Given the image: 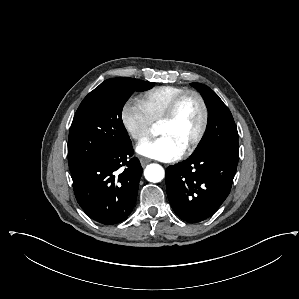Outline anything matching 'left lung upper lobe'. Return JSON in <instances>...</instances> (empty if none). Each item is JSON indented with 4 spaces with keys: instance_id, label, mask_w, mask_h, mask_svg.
<instances>
[{
    "instance_id": "left-lung-upper-lobe-1",
    "label": "left lung upper lobe",
    "mask_w": 299,
    "mask_h": 299,
    "mask_svg": "<svg viewBox=\"0 0 299 299\" xmlns=\"http://www.w3.org/2000/svg\"><path fill=\"white\" fill-rule=\"evenodd\" d=\"M202 95L208 109L205 134L191 157L220 150L238 156V132L230 110L209 87L191 83Z\"/></svg>"
}]
</instances>
